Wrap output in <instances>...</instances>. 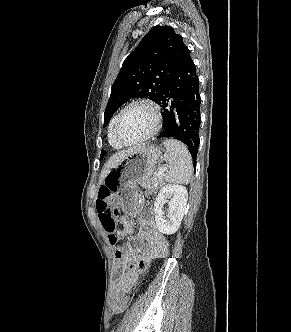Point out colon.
Returning a JSON list of instances; mask_svg holds the SVG:
<instances>
[{"label": "colon", "instance_id": "1", "mask_svg": "<svg viewBox=\"0 0 291 332\" xmlns=\"http://www.w3.org/2000/svg\"><path fill=\"white\" fill-rule=\"evenodd\" d=\"M97 210L99 213L100 222L107 233L110 244L115 245L120 238V232L118 231L116 221L117 209L115 207L111 192L105 187H102L99 190L97 198ZM128 300L129 297H124L120 300L114 301L111 306L112 312H122L126 308Z\"/></svg>", "mask_w": 291, "mask_h": 332}]
</instances>
